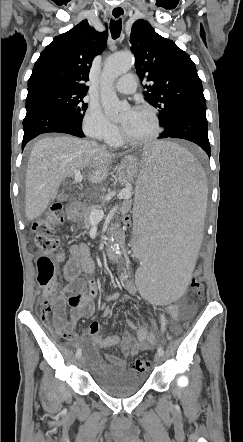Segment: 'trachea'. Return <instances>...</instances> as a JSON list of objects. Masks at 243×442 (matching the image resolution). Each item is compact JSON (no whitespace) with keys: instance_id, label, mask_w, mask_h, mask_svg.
Segmentation results:
<instances>
[{"instance_id":"3493384b","label":"trachea","mask_w":243,"mask_h":442,"mask_svg":"<svg viewBox=\"0 0 243 442\" xmlns=\"http://www.w3.org/2000/svg\"><path fill=\"white\" fill-rule=\"evenodd\" d=\"M122 28L121 18L118 20H111L110 22V31L113 39H117L120 36Z\"/></svg>"}]
</instances>
